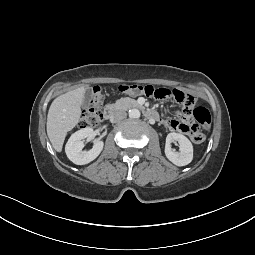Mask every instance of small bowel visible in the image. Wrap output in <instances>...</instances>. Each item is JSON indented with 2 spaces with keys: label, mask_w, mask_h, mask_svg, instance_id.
Masks as SVG:
<instances>
[{
  "label": "small bowel",
  "mask_w": 255,
  "mask_h": 255,
  "mask_svg": "<svg viewBox=\"0 0 255 255\" xmlns=\"http://www.w3.org/2000/svg\"><path fill=\"white\" fill-rule=\"evenodd\" d=\"M163 123L168 129L180 133H187L188 128L191 126L190 120L184 115L180 119H165Z\"/></svg>",
  "instance_id": "small-bowel-1"
}]
</instances>
